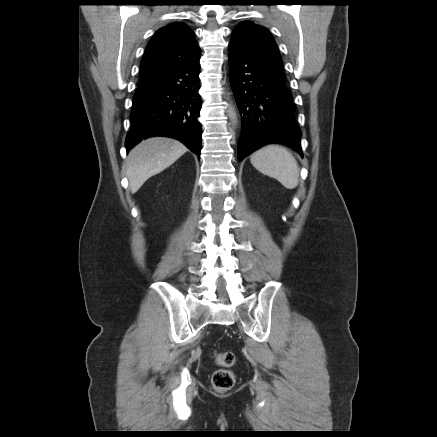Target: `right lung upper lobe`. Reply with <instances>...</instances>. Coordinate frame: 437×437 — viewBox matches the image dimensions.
<instances>
[{
  "mask_svg": "<svg viewBox=\"0 0 437 437\" xmlns=\"http://www.w3.org/2000/svg\"><path fill=\"white\" fill-rule=\"evenodd\" d=\"M199 56L194 32L181 22L169 24L159 29L146 47L140 68L141 83Z\"/></svg>",
  "mask_w": 437,
  "mask_h": 437,
  "instance_id": "right-lung-upper-lobe-1",
  "label": "right lung upper lobe"
}]
</instances>
